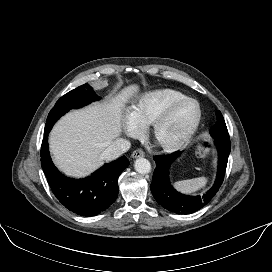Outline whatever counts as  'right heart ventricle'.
Segmentation results:
<instances>
[{
  "mask_svg": "<svg viewBox=\"0 0 272 272\" xmlns=\"http://www.w3.org/2000/svg\"><path fill=\"white\" fill-rule=\"evenodd\" d=\"M186 97L174 89H159L145 93L131 107L129 117L140 129L148 128L172 102Z\"/></svg>",
  "mask_w": 272,
  "mask_h": 272,
  "instance_id": "right-heart-ventricle-1",
  "label": "right heart ventricle"
}]
</instances>
